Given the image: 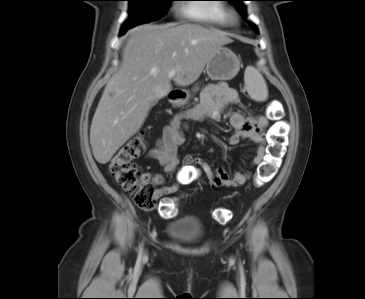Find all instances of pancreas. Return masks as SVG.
Wrapping results in <instances>:
<instances>
[{
  "label": "pancreas",
  "mask_w": 365,
  "mask_h": 299,
  "mask_svg": "<svg viewBox=\"0 0 365 299\" xmlns=\"http://www.w3.org/2000/svg\"><path fill=\"white\" fill-rule=\"evenodd\" d=\"M197 90H198V87H196L194 91H197Z\"/></svg>",
  "instance_id": "pancreas-1"
}]
</instances>
